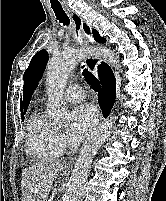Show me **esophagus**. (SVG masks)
<instances>
[{
  "instance_id": "obj_1",
  "label": "esophagus",
  "mask_w": 166,
  "mask_h": 201,
  "mask_svg": "<svg viewBox=\"0 0 166 201\" xmlns=\"http://www.w3.org/2000/svg\"><path fill=\"white\" fill-rule=\"evenodd\" d=\"M68 16L70 17L72 24H73V36L74 39L80 47H85L88 45V40L86 39L84 32H83V19L79 16L76 12L71 9H66ZM84 61L88 69L97 76L96 67L98 65V60L94 57L89 55L84 56ZM74 158L70 159L68 164H73Z\"/></svg>"
}]
</instances>
